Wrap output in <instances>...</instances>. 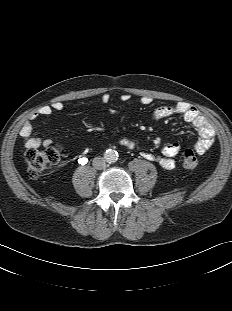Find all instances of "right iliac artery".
Here are the masks:
<instances>
[{"instance_id":"right-iliac-artery-1","label":"right iliac artery","mask_w":232,"mask_h":311,"mask_svg":"<svg viewBox=\"0 0 232 311\" xmlns=\"http://www.w3.org/2000/svg\"><path fill=\"white\" fill-rule=\"evenodd\" d=\"M84 160H85V163H86V162H87V159H86V158H84ZM85 163H84V164H85Z\"/></svg>"}]
</instances>
